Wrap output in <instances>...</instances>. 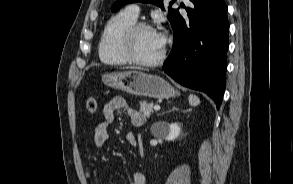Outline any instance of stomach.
<instances>
[{
    "mask_svg": "<svg viewBox=\"0 0 293 184\" xmlns=\"http://www.w3.org/2000/svg\"><path fill=\"white\" fill-rule=\"evenodd\" d=\"M103 83L131 95L168 99L178 92L163 78L140 71L113 72L102 76Z\"/></svg>",
    "mask_w": 293,
    "mask_h": 184,
    "instance_id": "1",
    "label": "stomach"
}]
</instances>
